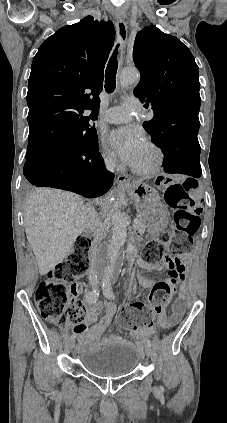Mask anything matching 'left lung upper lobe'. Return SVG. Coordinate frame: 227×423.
Returning a JSON list of instances; mask_svg holds the SVG:
<instances>
[{"label":"left lung upper lobe","mask_w":227,"mask_h":423,"mask_svg":"<svg viewBox=\"0 0 227 423\" xmlns=\"http://www.w3.org/2000/svg\"><path fill=\"white\" fill-rule=\"evenodd\" d=\"M133 59L141 74L134 95L154 110V118L143 123L153 140L187 123L199 124V70L179 39L147 26L136 35Z\"/></svg>","instance_id":"5c2ea615"}]
</instances>
